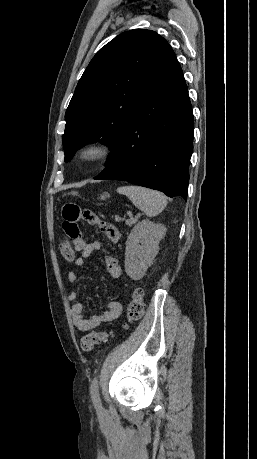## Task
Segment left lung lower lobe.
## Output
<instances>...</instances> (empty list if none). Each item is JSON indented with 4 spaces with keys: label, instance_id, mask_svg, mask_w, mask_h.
I'll return each mask as SVG.
<instances>
[{
    "label": "left lung lower lobe",
    "instance_id": "1",
    "mask_svg": "<svg viewBox=\"0 0 257 459\" xmlns=\"http://www.w3.org/2000/svg\"><path fill=\"white\" fill-rule=\"evenodd\" d=\"M194 121L172 52L122 124L106 168L94 179L127 181L187 200Z\"/></svg>",
    "mask_w": 257,
    "mask_h": 459
}]
</instances>
